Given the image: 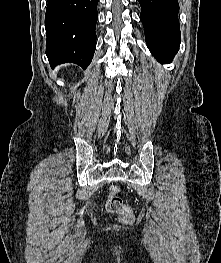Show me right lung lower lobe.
Returning a JSON list of instances; mask_svg holds the SVG:
<instances>
[{"label":"right lung lower lobe","instance_id":"98d812e1","mask_svg":"<svg viewBox=\"0 0 221 263\" xmlns=\"http://www.w3.org/2000/svg\"><path fill=\"white\" fill-rule=\"evenodd\" d=\"M46 55L50 65L91 63L96 47L99 0H47Z\"/></svg>","mask_w":221,"mask_h":263}]
</instances>
